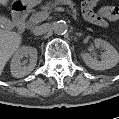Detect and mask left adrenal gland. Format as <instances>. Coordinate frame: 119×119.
<instances>
[{
    "mask_svg": "<svg viewBox=\"0 0 119 119\" xmlns=\"http://www.w3.org/2000/svg\"><path fill=\"white\" fill-rule=\"evenodd\" d=\"M76 35H77L78 37H81V36H82V33H76Z\"/></svg>",
    "mask_w": 119,
    "mask_h": 119,
    "instance_id": "obj_1",
    "label": "left adrenal gland"
}]
</instances>
